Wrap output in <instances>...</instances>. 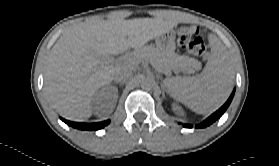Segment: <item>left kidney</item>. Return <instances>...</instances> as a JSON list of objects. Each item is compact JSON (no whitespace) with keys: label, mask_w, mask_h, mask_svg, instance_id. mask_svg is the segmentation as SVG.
I'll use <instances>...</instances> for the list:
<instances>
[{"label":"left kidney","mask_w":279,"mask_h":166,"mask_svg":"<svg viewBox=\"0 0 279 166\" xmlns=\"http://www.w3.org/2000/svg\"><path fill=\"white\" fill-rule=\"evenodd\" d=\"M173 109H174V110H177V111H179V109H178V108H176V107H173Z\"/></svg>","instance_id":"5707ae66"}]
</instances>
